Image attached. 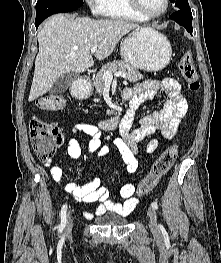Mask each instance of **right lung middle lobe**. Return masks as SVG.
Wrapping results in <instances>:
<instances>
[{
  "label": "right lung middle lobe",
  "mask_w": 221,
  "mask_h": 263,
  "mask_svg": "<svg viewBox=\"0 0 221 263\" xmlns=\"http://www.w3.org/2000/svg\"><path fill=\"white\" fill-rule=\"evenodd\" d=\"M83 0H38L36 4V17L54 12L78 9Z\"/></svg>",
  "instance_id": "dd1d6c3e"
}]
</instances>
